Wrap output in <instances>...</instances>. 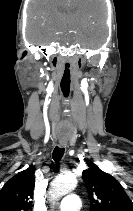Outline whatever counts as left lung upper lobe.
I'll return each instance as SVG.
<instances>
[{
    "label": "left lung upper lobe",
    "mask_w": 133,
    "mask_h": 211,
    "mask_svg": "<svg viewBox=\"0 0 133 211\" xmlns=\"http://www.w3.org/2000/svg\"><path fill=\"white\" fill-rule=\"evenodd\" d=\"M88 169L82 173L90 199L91 211H133L121 184L108 173L100 170L92 161H87Z\"/></svg>",
    "instance_id": "left-lung-upper-lobe-1"
}]
</instances>
